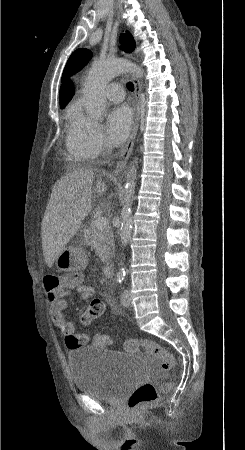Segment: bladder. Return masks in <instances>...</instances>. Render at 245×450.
Segmentation results:
<instances>
[{
  "label": "bladder",
  "mask_w": 245,
  "mask_h": 450,
  "mask_svg": "<svg viewBox=\"0 0 245 450\" xmlns=\"http://www.w3.org/2000/svg\"><path fill=\"white\" fill-rule=\"evenodd\" d=\"M67 359L77 392L111 402L138 385L147 372L140 356L98 347H75Z\"/></svg>",
  "instance_id": "1"
}]
</instances>
